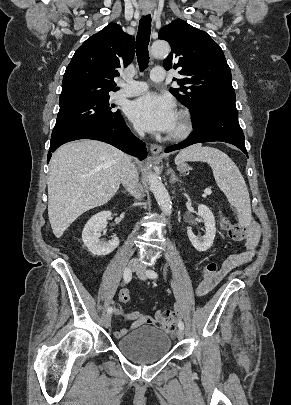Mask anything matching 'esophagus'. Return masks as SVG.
<instances>
[{
    "label": "esophagus",
    "instance_id": "34e87169",
    "mask_svg": "<svg viewBox=\"0 0 291 405\" xmlns=\"http://www.w3.org/2000/svg\"><path fill=\"white\" fill-rule=\"evenodd\" d=\"M144 13H145V14H148L149 12H148V11H145ZM161 150H162V147H161L160 145H158V144H152V145L150 146L151 154H152L153 157H155V158L158 157V155H159V153L161 152Z\"/></svg>",
    "mask_w": 291,
    "mask_h": 405
}]
</instances>
